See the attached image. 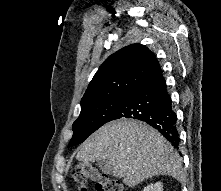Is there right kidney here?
Listing matches in <instances>:
<instances>
[{"mask_svg": "<svg viewBox=\"0 0 221 191\" xmlns=\"http://www.w3.org/2000/svg\"><path fill=\"white\" fill-rule=\"evenodd\" d=\"M142 191H163V185L161 182H157L146 186Z\"/></svg>", "mask_w": 221, "mask_h": 191, "instance_id": "right-kidney-1", "label": "right kidney"}]
</instances>
